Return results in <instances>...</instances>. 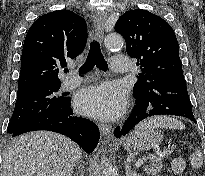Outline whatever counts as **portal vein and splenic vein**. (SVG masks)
I'll return each mask as SVG.
<instances>
[{
  "label": "portal vein and splenic vein",
  "instance_id": "1",
  "mask_svg": "<svg viewBox=\"0 0 205 176\" xmlns=\"http://www.w3.org/2000/svg\"><path fill=\"white\" fill-rule=\"evenodd\" d=\"M166 153H167V152H164V153L161 154V155L164 156ZM147 158H148V157H147ZM147 158H146V157H143V158L139 159V160L136 162L135 166H136L137 168H139V167L144 163V161H146Z\"/></svg>",
  "mask_w": 205,
  "mask_h": 176
}]
</instances>
